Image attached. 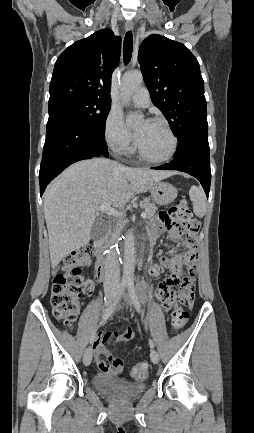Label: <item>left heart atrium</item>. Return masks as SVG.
I'll return each mask as SVG.
<instances>
[{
  "label": "left heart atrium",
  "instance_id": "left-heart-atrium-1",
  "mask_svg": "<svg viewBox=\"0 0 254 433\" xmlns=\"http://www.w3.org/2000/svg\"><path fill=\"white\" fill-rule=\"evenodd\" d=\"M146 122H147V121H146ZM146 122H145V123H146ZM141 131H142V129L136 130V136H137V137L140 135Z\"/></svg>",
  "mask_w": 254,
  "mask_h": 433
}]
</instances>
